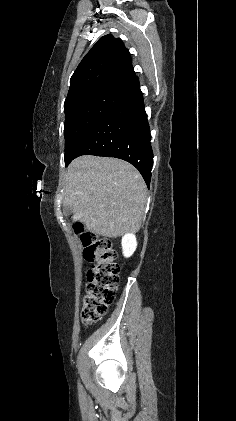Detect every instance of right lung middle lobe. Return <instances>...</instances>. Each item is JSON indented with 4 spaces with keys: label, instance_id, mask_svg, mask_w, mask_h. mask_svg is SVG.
<instances>
[{
    "label": "right lung middle lobe",
    "instance_id": "obj_1",
    "mask_svg": "<svg viewBox=\"0 0 236 421\" xmlns=\"http://www.w3.org/2000/svg\"><path fill=\"white\" fill-rule=\"evenodd\" d=\"M129 92L122 86L111 85L81 92L65 100V163L66 166L85 135L110 111L123 101Z\"/></svg>",
    "mask_w": 236,
    "mask_h": 421
}]
</instances>
